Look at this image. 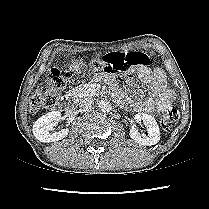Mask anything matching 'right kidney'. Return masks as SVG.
Wrapping results in <instances>:
<instances>
[{"mask_svg":"<svg viewBox=\"0 0 209 209\" xmlns=\"http://www.w3.org/2000/svg\"><path fill=\"white\" fill-rule=\"evenodd\" d=\"M61 113L59 111L49 112L40 117L33 125V134L40 142L49 143L59 141L65 138L69 129H60L53 131V127L60 121Z\"/></svg>","mask_w":209,"mask_h":209,"instance_id":"1","label":"right kidney"}]
</instances>
